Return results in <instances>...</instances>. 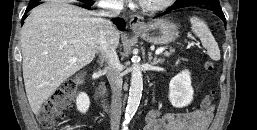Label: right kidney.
<instances>
[{"instance_id":"1","label":"right kidney","mask_w":257,"mask_h":130,"mask_svg":"<svg viewBox=\"0 0 257 130\" xmlns=\"http://www.w3.org/2000/svg\"><path fill=\"white\" fill-rule=\"evenodd\" d=\"M77 110L86 113L90 106V99L86 93H80L76 99Z\"/></svg>"}]
</instances>
